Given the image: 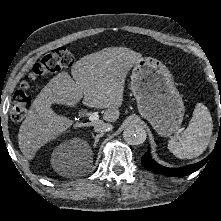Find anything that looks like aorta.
Wrapping results in <instances>:
<instances>
[{"label":"aorta","instance_id":"1","mask_svg":"<svg viewBox=\"0 0 221 221\" xmlns=\"http://www.w3.org/2000/svg\"><path fill=\"white\" fill-rule=\"evenodd\" d=\"M146 131L140 125H129L123 131L124 140L131 145H139L146 140Z\"/></svg>","mask_w":221,"mask_h":221}]
</instances>
